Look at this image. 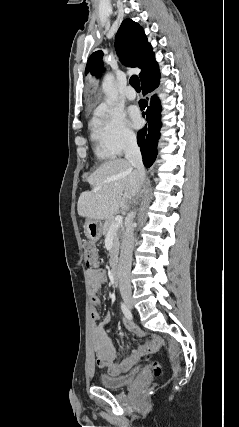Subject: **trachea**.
<instances>
[{"instance_id": "trachea-1", "label": "trachea", "mask_w": 239, "mask_h": 427, "mask_svg": "<svg viewBox=\"0 0 239 427\" xmlns=\"http://www.w3.org/2000/svg\"><path fill=\"white\" fill-rule=\"evenodd\" d=\"M130 84H131V86H132V87H133L137 92H139V91H140V81H139L138 76L133 75V76L130 78Z\"/></svg>"}]
</instances>
